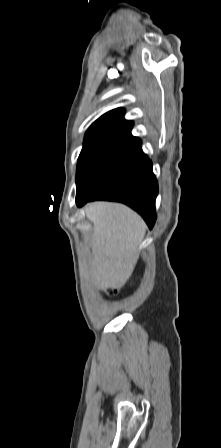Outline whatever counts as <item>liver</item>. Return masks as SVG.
I'll return each instance as SVG.
<instances>
[{
  "instance_id": "liver-1",
  "label": "liver",
  "mask_w": 221,
  "mask_h": 448,
  "mask_svg": "<svg viewBox=\"0 0 221 448\" xmlns=\"http://www.w3.org/2000/svg\"><path fill=\"white\" fill-rule=\"evenodd\" d=\"M85 213L93 224L89 239L92 282L101 289L121 288L138 261L146 225L136 212L119 203L97 201Z\"/></svg>"
}]
</instances>
